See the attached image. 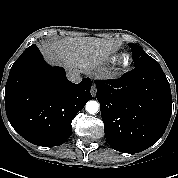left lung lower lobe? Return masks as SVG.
Wrapping results in <instances>:
<instances>
[{"label":"left lung lower lobe","instance_id":"left-lung-lower-lobe-1","mask_svg":"<svg viewBox=\"0 0 178 178\" xmlns=\"http://www.w3.org/2000/svg\"><path fill=\"white\" fill-rule=\"evenodd\" d=\"M95 84L106 140L113 149L138 153L162 137L172 112V96L157 61L136 66L117 80Z\"/></svg>","mask_w":178,"mask_h":178}]
</instances>
